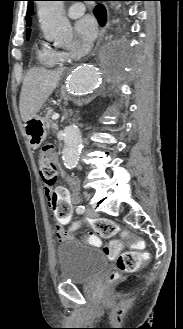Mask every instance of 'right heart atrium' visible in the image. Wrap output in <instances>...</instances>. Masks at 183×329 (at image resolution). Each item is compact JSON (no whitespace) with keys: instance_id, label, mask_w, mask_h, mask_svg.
<instances>
[{"instance_id":"right-heart-atrium-1","label":"right heart atrium","mask_w":183,"mask_h":329,"mask_svg":"<svg viewBox=\"0 0 183 329\" xmlns=\"http://www.w3.org/2000/svg\"><path fill=\"white\" fill-rule=\"evenodd\" d=\"M82 51V47L78 45V47L74 50L60 52V56L62 60L72 59L74 57L79 56Z\"/></svg>"}]
</instances>
